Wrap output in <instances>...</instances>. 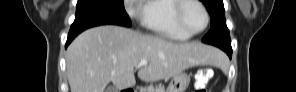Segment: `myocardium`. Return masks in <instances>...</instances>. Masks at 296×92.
I'll return each mask as SVG.
<instances>
[{
  "mask_svg": "<svg viewBox=\"0 0 296 92\" xmlns=\"http://www.w3.org/2000/svg\"><path fill=\"white\" fill-rule=\"evenodd\" d=\"M190 3H194V4H197L198 6L201 7V9L203 10L204 12V15H205V25L203 26L202 29H200L199 31H195V32H192L190 31L185 23H184V20H183V12H184V9L186 8V6ZM174 19H175V22L177 24V26L185 33L187 34L188 36L192 37V36H196V35H199L201 34L202 32H204L208 25H209V22H210V15L206 9V7L203 5L202 2L198 1V0H184V1H180L179 4L177 5L176 9H175V13H174Z\"/></svg>",
  "mask_w": 296,
  "mask_h": 92,
  "instance_id": "myocardium-1",
  "label": "myocardium"
}]
</instances>
